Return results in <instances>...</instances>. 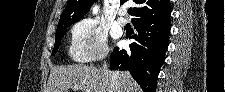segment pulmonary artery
Instances as JSON below:
<instances>
[{
    "instance_id": "pulmonary-artery-1",
    "label": "pulmonary artery",
    "mask_w": 225,
    "mask_h": 92,
    "mask_svg": "<svg viewBox=\"0 0 225 92\" xmlns=\"http://www.w3.org/2000/svg\"><path fill=\"white\" fill-rule=\"evenodd\" d=\"M126 11L122 10L119 12L118 24L120 26H125L127 24V19L125 18Z\"/></svg>"
}]
</instances>
